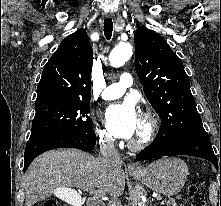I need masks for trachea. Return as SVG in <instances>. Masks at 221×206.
I'll use <instances>...</instances> for the list:
<instances>
[{
	"instance_id": "3493384b",
	"label": "trachea",
	"mask_w": 221,
	"mask_h": 206,
	"mask_svg": "<svg viewBox=\"0 0 221 206\" xmlns=\"http://www.w3.org/2000/svg\"><path fill=\"white\" fill-rule=\"evenodd\" d=\"M112 31H113L112 19L105 18V20H104V35H105L107 40L111 39Z\"/></svg>"
}]
</instances>
